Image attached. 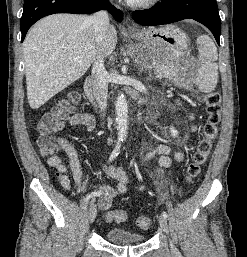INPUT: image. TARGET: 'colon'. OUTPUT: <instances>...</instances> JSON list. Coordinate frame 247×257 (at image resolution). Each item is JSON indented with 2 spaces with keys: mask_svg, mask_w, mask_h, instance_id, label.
<instances>
[{
  "mask_svg": "<svg viewBox=\"0 0 247 257\" xmlns=\"http://www.w3.org/2000/svg\"><path fill=\"white\" fill-rule=\"evenodd\" d=\"M79 100V94L72 91L42 116L38 124V146L43 157L49 158L58 152L60 146L54 133L61 128L67 116L75 110ZM201 100L205 105L206 122L203 128V137L187 167L186 180L188 182H192L200 174L201 168L211 152L221 119V97L219 93H209L202 96ZM126 219L127 213L123 210L108 211L105 214L107 222L121 223ZM150 222V218L146 215H141L137 219V225L143 229L148 228Z\"/></svg>",
  "mask_w": 247,
  "mask_h": 257,
  "instance_id": "colon-1",
  "label": "colon"
}]
</instances>
